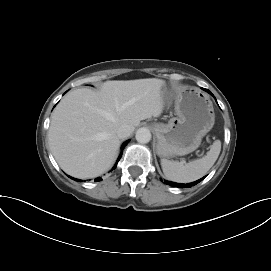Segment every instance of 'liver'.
Listing matches in <instances>:
<instances>
[{
	"mask_svg": "<svg viewBox=\"0 0 271 271\" xmlns=\"http://www.w3.org/2000/svg\"><path fill=\"white\" fill-rule=\"evenodd\" d=\"M165 82L156 78L106 81L99 92H69L56 106L48 131L50 149L67 174L88 179L113 165L120 145L116 131H134L141 120L161 115Z\"/></svg>",
	"mask_w": 271,
	"mask_h": 271,
	"instance_id": "obj_1",
	"label": "liver"
}]
</instances>
